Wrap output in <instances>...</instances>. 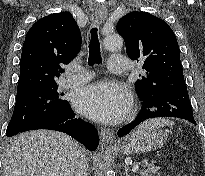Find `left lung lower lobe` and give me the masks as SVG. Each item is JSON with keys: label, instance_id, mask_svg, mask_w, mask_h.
I'll return each instance as SVG.
<instances>
[{"label": "left lung lower lobe", "instance_id": "1", "mask_svg": "<svg viewBox=\"0 0 205 176\" xmlns=\"http://www.w3.org/2000/svg\"><path fill=\"white\" fill-rule=\"evenodd\" d=\"M142 101V109L136 119L118 131L119 137L126 135L144 121L156 117H177L196 125L186 84L167 85L163 89L153 91L151 96Z\"/></svg>", "mask_w": 205, "mask_h": 176}]
</instances>
